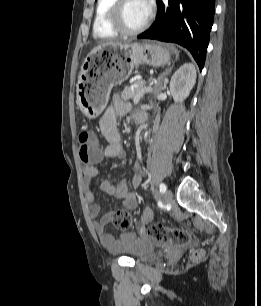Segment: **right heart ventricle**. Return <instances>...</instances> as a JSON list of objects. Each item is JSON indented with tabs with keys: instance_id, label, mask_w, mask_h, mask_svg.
<instances>
[{
	"instance_id": "1",
	"label": "right heart ventricle",
	"mask_w": 261,
	"mask_h": 306,
	"mask_svg": "<svg viewBox=\"0 0 261 306\" xmlns=\"http://www.w3.org/2000/svg\"><path fill=\"white\" fill-rule=\"evenodd\" d=\"M115 0H98L95 8L92 33L97 39H113L120 35L109 22V11Z\"/></svg>"
}]
</instances>
